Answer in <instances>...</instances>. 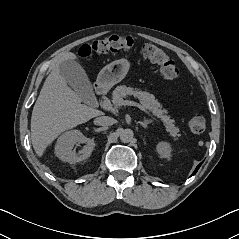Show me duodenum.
<instances>
[{
  "label": "duodenum",
  "instance_id": "obj_1",
  "mask_svg": "<svg viewBox=\"0 0 239 239\" xmlns=\"http://www.w3.org/2000/svg\"><path fill=\"white\" fill-rule=\"evenodd\" d=\"M96 96L101 97L105 93V87L101 84H98L94 88Z\"/></svg>",
  "mask_w": 239,
  "mask_h": 239
}]
</instances>
